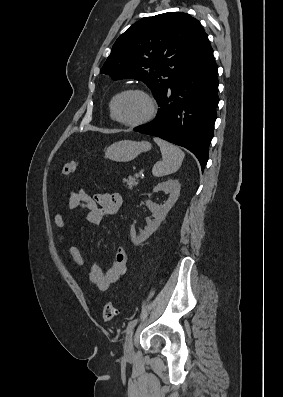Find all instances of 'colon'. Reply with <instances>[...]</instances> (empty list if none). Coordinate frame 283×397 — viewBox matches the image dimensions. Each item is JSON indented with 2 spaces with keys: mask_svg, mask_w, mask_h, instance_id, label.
Wrapping results in <instances>:
<instances>
[{
  "mask_svg": "<svg viewBox=\"0 0 283 397\" xmlns=\"http://www.w3.org/2000/svg\"><path fill=\"white\" fill-rule=\"evenodd\" d=\"M79 169V163L75 161L67 162L63 165L61 169V174L71 175L77 172ZM116 315V308L112 302H108L104 305L102 311V318L105 322H110L114 319Z\"/></svg>",
  "mask_w": 283,
  "mask_h": 397,
  "instance_id": "5ec220e1",
  "label": "colon"
}]
</instances>
